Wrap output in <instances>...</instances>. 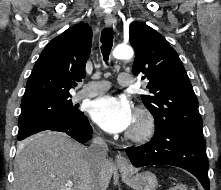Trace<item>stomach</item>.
<instances>
[{
    "label": "stomach",
    "mask_w": 221,
    "mask_h": 190,
    "mask_svg": "<svg viewBox=\"0 0 221 190\" xmlns=\"http://www.w3.org/2000/svg\"><path fill=\"white\" fill-rule=\"evenodd\" d=\"M123 180L134 190H156L157 177L150 171L142 173H130L120 170Z\"/></svg>",
    "instance_id": "stomach-1"
}]
</instances>
